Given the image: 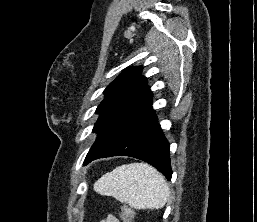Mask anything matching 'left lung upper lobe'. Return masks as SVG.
I'll list each match as a JSON object with an SVG mask.
<instances>
[{"mask_svg":"<svg viewBox=\"0 0 257 222\" xmlns=\"http://www.w3.org/2000/svg\"><path fill=\"white\" fill-rule=\"evenodd\" d=\"M142 69L141 66L127 68L104 90L105 98L96 110L100 116L93 128L98 137L86 158L102 149L128 122L152 104V92L146 87L147 78L141 75Z\"/></svg>","mask_w":257,"mask_h":222,"instance_id":"left-lung-upper-lobe-1","label":"left lung upper lobe"}]
</instances>
